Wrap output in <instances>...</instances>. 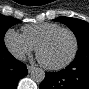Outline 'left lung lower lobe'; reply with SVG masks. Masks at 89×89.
Here are the masks:
<instances>
[{"label":"left lung lower lobe","mask_w":89,"mask_h":89,"mask_svg":"<svg viewBox=\"0 0 89 89\" xmlns=\"http://www.w3.org/2000/svg\"><path fill=\"white\" fill-rule=\"evenodd\" d=\"M40 89H89V50L77 52L66 69L46 72Z\"/></svg>","instance_id":"1"}]
</instances>
